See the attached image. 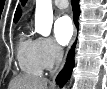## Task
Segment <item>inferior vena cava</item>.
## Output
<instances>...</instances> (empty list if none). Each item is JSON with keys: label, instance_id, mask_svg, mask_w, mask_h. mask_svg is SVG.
<instances>
[{"label": "inferior vena cava", "instance_id": "1", "mask_svg": "<svg viewBox=\"0 0 107 89\" xmlns=\"http://www.w3.org/2000/svg\"><path fill=\"white\" fill-rule=\"evenodd\" d=\"M55 57H56V67H55L54 72L58 69V67L61 64L62 59H63V49L59 45H56Z\"/></svg>", "mask_w": 107, "mask_h": 89}]
</instances>
